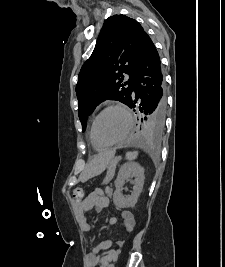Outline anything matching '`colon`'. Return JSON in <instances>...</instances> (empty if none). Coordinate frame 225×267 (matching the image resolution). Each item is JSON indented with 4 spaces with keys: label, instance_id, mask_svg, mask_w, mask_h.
<instances>
[{
    "label": "colon",
    "instance_id": "1",
    "mask_svg": "<svg viewBox=\"0 0 225 267\" xmlns=\"http://www.w3.org/2000/svg\"><path fill=\"white\" fill-rule=\"evenodd\" d=\"M73 197L76 200H82L84 197V188L82 186H76L73 190ZM107 267H114L113 264L109 263Z\"/></svg>",
    "mask_w": 225,
    "mask_h": 267
}]
</instances>
